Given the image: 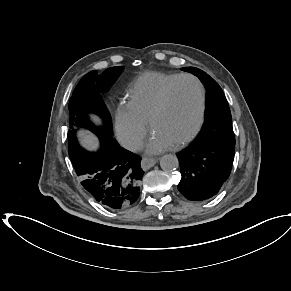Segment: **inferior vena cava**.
Here are the masks:
<instances>
[{
    "instance_id": "602c4592",
    "label": "inferior vena cava",
    "mask_w": 291,
    "mask_h": 291,
    "mask_svg": "<svg viewBox=\"0 0 291 291\" xmlns=\"http://www.w3.org/2000/svg\"><path fill=\"white\" fill-rule=\"evenodd\" d=\"M123 147L130 151H138L143 148V140L139 137L126 139L122 143Z\"/></svg>"
}]
</instances>
